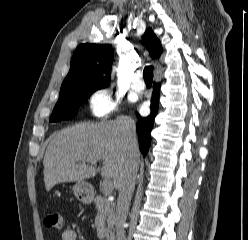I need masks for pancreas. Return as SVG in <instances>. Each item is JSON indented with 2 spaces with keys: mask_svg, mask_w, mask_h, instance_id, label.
<instances>
[{
  "mask_svg": "<svg viewBox=\"0 0 248 240\" xmlns=\"http://www.w3.org/2000/svg\"><path fill=\"white\" fill-rule=\"evenodd\" d=\"M95 208L98 215H102L107 221L106 238L107 240H114V225L115 212L114 204L107 200L106 197L97 196L94 199Z\"/></svg>",
  "mask_w": 248,
  "mask_h": 240,
  "instance_id": "obj_1",
  "label": "pancreas"
}]
</instances>
